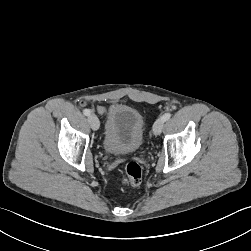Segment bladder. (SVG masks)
<instances>
[{
    "label": "bladder",
    "instance_id": "1",
    "mask_svg": "<svg viewBox=\"0 0 251 251\" xmlns=\"http://www.w3.org/2000/svg\"><path fill=\"white\" fill-rule=\"evenodd\" d=\"M144 141V121L140 112L126 104L110 105L102 138L103 150L111 155L137 151Z\"/></svg>",
    "mask_w": 251,
    "mask_h": 251
}]
</instances>
